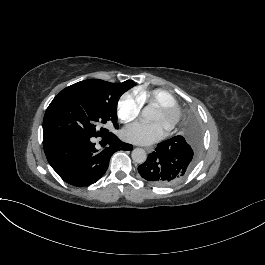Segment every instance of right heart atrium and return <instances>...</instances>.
I'll return each instance as SVG.
<instances>
[{
	"label": "right heart atrium",
	"instance_id": "d8ad5b80",
	"mask_svg": "<svg viewBox=\"0 0 265 265\" xmlns=\"http://www.w3.org/2000/svg\"><path fill=\"white\" fill-rule=\"evenodd\" d=\"M143 107L141 99L132 92L124 94L118 104V116L121 122L130 123L135 120Z\"/></svg>",
	"mask_w": 265,
	"mask_h": 265
}]
</instances>
